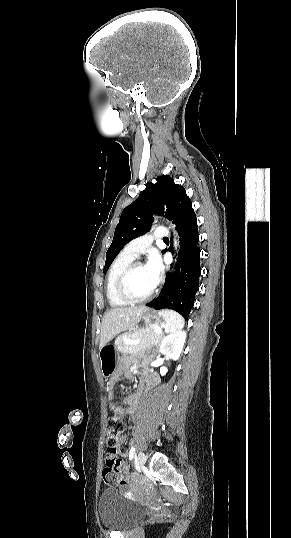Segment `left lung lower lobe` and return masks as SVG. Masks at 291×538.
Segmentation results:
<instances>
[{
	"mask_svg": "<svg viewBox=\"0 0 291 538\" xmlns=\"http://www.w3.org/2000/svg\"><path fill=\"white\" fill-rule=\"evenodd\" d=\"M176 229L180 236L176 270L166 274V281L159 296L146 305L158 310L173 309L188 320L199 289L201 274L199 234L194 210L176 225Z\"/></svg>",
	"mask_w": 291,
	"mask_h": 538,
	"instance_id": "obj_1",
	"label": "left lung lower lobe"
}]
</instances>
